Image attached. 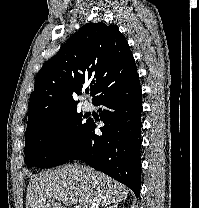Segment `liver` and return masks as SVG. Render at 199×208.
Returning a JSON list of instances; mask_svg holds the SVG:
<instances>
[{
	"mask_svg": "<svg viewBox=\"0 0 199 208\" xmlns=\"http://www.w3.org/2000/svg\"><path fill=\"white\" fill-rule=\"evenodd\" d=\"M97 196L102 206L125 200L127 188L108 175L91 167L66 164L39 173L27 188L26 208H65L58 198L77 200L80 208H90V200Z\"/></svg>",
	"mask_w": 199,
	"mask_h": 208,
	"instance_id": "obj_1",
	"label": "liver"
}]
</instances>
